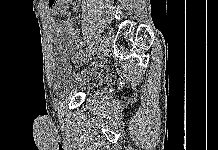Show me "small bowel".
I'll list each match as a JSON object with an SVG mask.
<instances>
[{"label": "small bowel", "instance_id": "c3829d8e", "mask_svg": "<svg viewBox=\"0 0 218 150\" xmlns=\"http://www.w3.org/2000/svg\"><path fill=\"white\" fill-rule=\"evenodd\" d=\"M80 0H58L55 4H50L48 1L49 12L52 16L65 14L68 16L67 20L58 22L54 17L50 19L51 27L56 34H75L76 30L71 22V15L74 13Z\"/></svg>", "mask_w": 218, "mask_h": 150}]
</instances>
